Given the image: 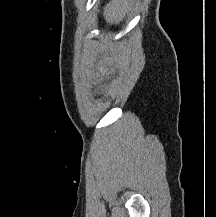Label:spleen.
I'll use <instances>...</instances> for the list:
<instances>
[{
	"label": "spleen",
	"instance_id": "1",
	"mask_svg": "<svg viewBox=\"0 0 216 217\" xmlns=\"http://www.w3.org/2000/svg\"><path fill=\"white\" fill-rule=\"evenodd\" d=\"M130 3L126 0H112L104 8L105 20L109 23H120L128 12Z\"/></svg>",
	"mask_w": 216,
	"mask_h": 217
}]
</instances>
